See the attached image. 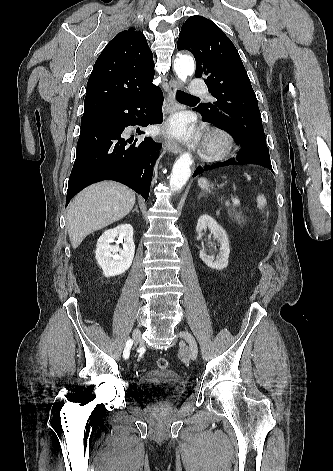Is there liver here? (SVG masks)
I'll return each mask as SVG.
<instances>
[{"instance_id":"obj_1","label":"liver","mask_w":333,"mask_h":471,"mask_svg":"<svg viewBox=\"0 0 333 471\" xmlns=\"http://www.w3.org/2000/svg\"><path fill=\"white\" fill-rule=\"evenodd\" d=\"M135 192L113 181L93 184L70 203L66 225L74 249L86 236L124 218L135 204Z\"/></svg>"}]
</instances>
